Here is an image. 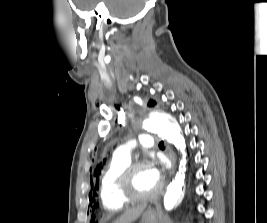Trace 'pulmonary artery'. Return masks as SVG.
Instances as JSON below:
<instances>
[{"label":"pulmonary artery","mask_w":267,"mask_h":223,"mask_svg":"<svg viewBox=\"0 0 267 223\" xmlns=\"http://www.w3.org/2000/svg\"><path fill=\"white\" fill-rule=\"evenodd\" d=\"M136 140L140 141L144 147H148V148L153 147L155 144L154 137L152 134H149V133L141 134L136 139L130 140L126 142L125 144H123L122 146H120L115 151V156H118L124 159H130Z\"/></svg>","instance_id":"obj_1"}]
</instances>
